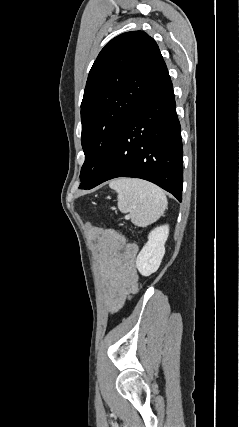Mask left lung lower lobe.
<instances>
[{
	"mask_svg": "<svg viewBox=\"0 0 239 427\" xmlns=\"http://www.w3.org/2000/svg\"><path fill=\"white\" fill-rule=\"evenodd\" d=\"M182 156L181 127L168 76L132 113L93 182L83 189L117 177H136L155 183L181 202Z\"/></svg>",
	"mask_w": 239,
	"mask_h": 427,
	"instance_id": "0a47b994",
	"label": "left lung lower lobe"
}]
</instances>
